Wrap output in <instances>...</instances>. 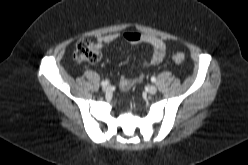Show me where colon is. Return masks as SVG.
Listing matches in <instances>:
<instances>
[{"label":"colon","instance_id":"obj_1","mask_svg":"<svg viewBox=\"0 0 248 165\" xmlns=\"http://www.w3.org/2000/svg\"><path fill=\"white\" fill-rule=\"evenodd\" d=\"M74 58L78 63L93 64L100 58V53L94 43L87 38L80 39L75 47ZM173 60L177 63H182L185 60L183 53H175Z\"/></svg>","mask_w":248,"mask_h":165}]
</instances>
